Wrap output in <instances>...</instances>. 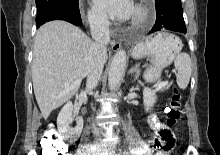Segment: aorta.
Segmentation results:
<instances>
[{"label": "aorta", "mask_w": 220, "mask_h": 155, "mask_svg": "<svg viewBox=\"0 0 220 155\" xmlns=\"http://www.w3.org/2000/svg\"><path fill=\"white\" fill-rule=\"evenodd\" d=\"M126 67V52L125 50H119L114 55L108 74L109 89L115 90L119 85L121 78L124 74Z\"/></svg>", "instance_id": "obj_1"}]
</instances>
